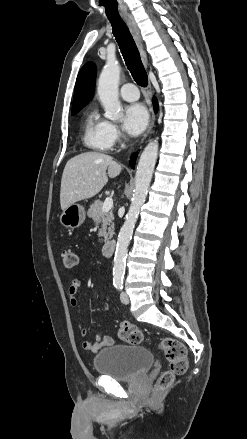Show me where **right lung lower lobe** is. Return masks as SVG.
<instances>
[{"label": "right lung lower lobe", "mask_w": 247, "mask_h": 439, "mask_svg": "<svg viewBox=\"0 0 247 439\" xmlns=\"http://www.w3.org/2000/svg\"><path fill=\"white\" fill-rule=\"evenodd\" d=\"M153 103H154V109L157 110L158 106H157V100L156 98L153 99ZM135 163V156L131 158L130 160V165L133 167Z\"/></svg>", "instance_id": "1"}]
</instances>
